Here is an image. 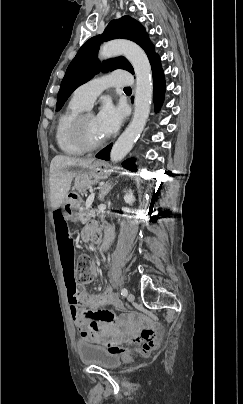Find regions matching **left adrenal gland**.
<instances>
[{
  "instance_id": "left-adrenal-gland-1",
  "label": "left adrenal gland",
  "mask_w": 243,
  "mask_h": 404,
  "mask_svg": "<svg viewBox=\"0 0 243 404\" xmlns=\"http://www.w3.org/2000/svg\"><path fill=\"white\" fill-rule=\"evenodd\" d=\"M113 186H115V184H112V182H106V184H104V186H101L100 190H99V200H101V202H103L105 196H107V194H109L110 190H112Z\"/></svg>"
}]
</instances>
